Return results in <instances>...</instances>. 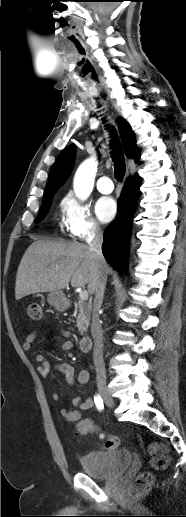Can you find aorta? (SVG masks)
Returning a JSON list of instances; mask_svg holds the SVG:
<instances>
[{"label": "aorta", "mask_w": 186, "mask_h": 517, "mask_svg": "<svg viewBox=\"0 0 186 517\" xmlns=\"http://www.w3.org/2000/svg\"><path fill=\"white\" fill-rule=\"evenodd\" d=\"M97 164L92 159L85 160L77 169L73 181L76 196L82 200L87 199L94 186Z\"/></svg>", "instance_id": "obj_1"}]
</instances>
